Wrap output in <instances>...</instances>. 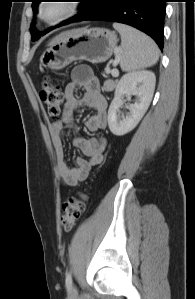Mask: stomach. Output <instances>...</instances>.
Segmentation results:
<instances>
[{
  "instance_id": "0dacf381",
  "label": "stomach",
  "mask_w": 195,
  "mask_h": 299,
  "mask_svg": "<svg viewBox=\"0 0 195 299\" xmlns=\"http://www.w3.org/2000/svg\"><path fill=\"white\" fill-rule=\"evenodd\" d=\"M118 43L114 31L105 28H81L69 31L41 56L40 63L60 70L77 60L93 64L107 61Z\"/></svg>"
}]
</instances>
